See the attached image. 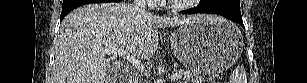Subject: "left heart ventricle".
Masks as SVG:
<instances>
[{
    "instance_id": "left-heart-ventricle-1",
    "label": "left heart ventricle",
    "mask_w": 307,
    "mask_h": 83,
    "mask_svg": "<svg viewBox=\"0 0 307 83\" xmlns=\"http://www.w3.org/2000/svg\"><path fill=\"white\" fill-rule=\"evenodd\" d=\"M173 2H180V1H185V0H172Z\"/></svg>"
}]
</instances>
